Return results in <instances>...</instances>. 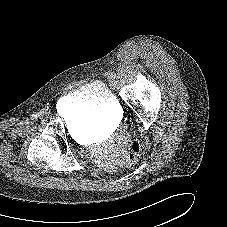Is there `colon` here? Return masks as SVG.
Segmentation results:
<instances>
[{"mask_svg": "<svg viewBox=\"0 0 227 227\" xmlns=\"http://www.w3.org/2000/svg\"><path fill=\"white\" fill-rule=\"evenodd\" d=\"M127 144V161L129 164H134L138 160L141 153V146L136 141H126Z\"/></svg>", "mask_w": 227, "mask_h": 227, "instance_id": "obj_1", "label": "colon"}]
</instances>
